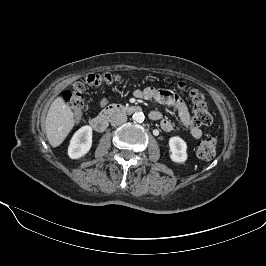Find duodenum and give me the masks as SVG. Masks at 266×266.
<instances>
[{"label": "duodenum", "instance_id": "410a0bca", "mask_svg": "<svg viewBox=\"0 0 266 266\" xmlns=\"http://www.w3.org/2000/svg\"><path fill=\"white\" fill-rule=\"evenodd\" d=\"M140 111V107L136 105L111 104L103 109V111L90 121L91 127L97 132H103L109 124L112 117L118 114H133Z\"/></svg>", "mask_w": 266, "mask_h": 266}]
</instances>
